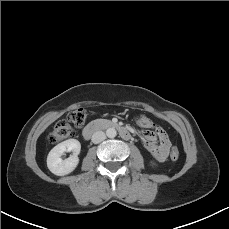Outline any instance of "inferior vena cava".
<instances>
[{"label": "inferior vena cava", "instance_id": "602c4592", "mask_svg": "<svg viewBox=\"0 0 229 229\" xmlns=\"http://www.w3.org/2000/svg\"><path fill=\"white\" fill-rule=\"evenodd\" d=\"M106 135L104 132L102 131H97L92 135V142L94 144H98L100 142H102L103 140H105Z\"/></svg>", "mask_w": 229, "mask_h": 229}]
</instances>
